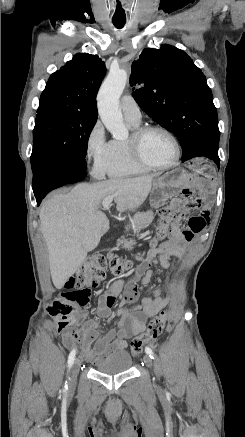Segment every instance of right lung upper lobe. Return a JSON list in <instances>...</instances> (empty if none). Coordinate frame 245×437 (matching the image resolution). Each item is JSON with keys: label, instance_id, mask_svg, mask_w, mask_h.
I'll list each match as a JSON object with an SVG mask.
<instances>
[{"label": "right lung upper lobe", "instance_id": "obj_1", "mask_svg": "<svg viewBox=\"0 0 245 437\" xmlns=\"http://www.w3.org/2000/svg\"><path fill=\"white\" fill-rule=\"evenodd\" d=\"M105 74V63L97 55L76 54L50 76L39 108L58 106L97 117L96 95Z\"/></svg>", "mask_w": 245, "mask_h": 437}]
</instances>
